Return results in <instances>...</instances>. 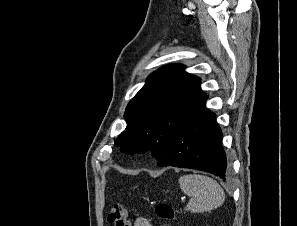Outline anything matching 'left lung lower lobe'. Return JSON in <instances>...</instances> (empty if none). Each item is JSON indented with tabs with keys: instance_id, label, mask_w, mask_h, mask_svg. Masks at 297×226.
I'll return each mask as SVG.
<instances>
[{
	"instance_id": "left-lung-lower-lobe-1",
	"label": "left lung lower lobe",
	"mask_w": 297,
	"mask_h": 226,
	"mask_svg": "<svg viewBox=\"0 0 297 226\" xmlns=\"http://www.w3.org/2000/svg\"><path fill=\"white\" fill-rule=\"evenodd\" d=\"M205 96L179 127L159 166L191 168L215 174L224 181L229 167L222 148V132Z\"/></svg>"
}]
</instances>
